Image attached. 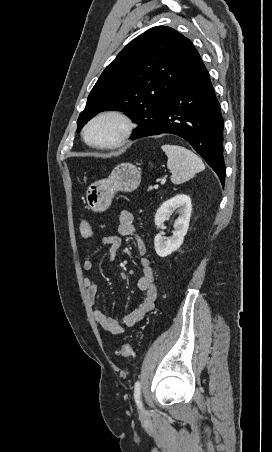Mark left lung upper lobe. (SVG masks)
Instances as JSON below:
<instances>
[{
  "instance_id": "obj_1",
  "label": "left lung upper lobe",
  "mask_w": 272,
  "mask_h": 452,
  "mask_svg": "<svg viewBox=\"0 0 272 452\" xmlns=\"http://www.w3.org/2000/svg\"><path fill=\"white\" fill-rule=\"evenodd\" d=\"M196 53L191 41L173 28L147 30L103 71L79 115L77 130L104 110L126 111L138 129L152 126Z\"/></svg>"
}]
</instances>
